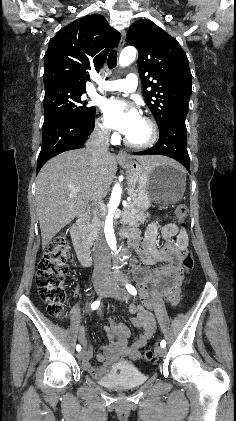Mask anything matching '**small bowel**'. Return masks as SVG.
I'll list each match as a JSON object with an SVG mask.
<instances>
[{
    "mask_svg": "<svg viewBox=\"0 0 236 421\" xmlns=\"http://www.w3.org/2000/svg\"><path fill=\"white\" fill-rule=\"evenodd\" d=\"M138 230V229H137ZM139 231V230H138ZM158 234V225L157 223H151L148 225L147 229H146V240L148 243H153L154 240L156 239ZM162 235L166 240H171L173 237H177L178 241L176 243L177 249L179 251L180 254H182L186 248H187V241H188V237H187V233L185 231V229L181 228L178 223L176 222H172L169 224H166L163 229H162ZM78 308L75 309V315H78ZM141 317L144 318V320L146 321V339L140 343V345H138L137 347L142 346L146 340H148L154 330H155V324L153 319L150 317V315L144 313V312H140ZM112 329L114 332H118V331H123L126 333V336L129 335V331L127 330V328L121 324H116L113 323L112 324ZM80 340L86 344L85 338L83 337V335L81 336ZM92 355V351L91 349H89ZM87 353V352H86ZM86 353L84 355V358L86 356Z\"/></svg>",
    "mask_w": 236,
    "mask_h": 421,
    "instance_id": "c3829d8e",
    "label": "small bowel"
}]
</instances>
